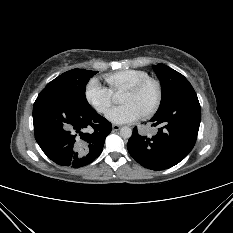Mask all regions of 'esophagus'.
<instances>
[{
	"instance_id": "obj_1",
	"label": "esophagus",
	"mask_w": 233,
	"mask_h": 233,
	"mask_svg": "<svg viewBox=\"0 0 233 233\" xmlns=\"http://www.w3.org/2000/svg\"><path fill=\"white\" fill-rule=\"evenodd\" d=\"M120 128H121L120 125H116V124H113V125H112V129H113L114 131H118Z\"/></svg>"
}]
</instances>
